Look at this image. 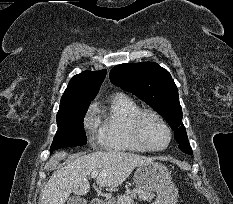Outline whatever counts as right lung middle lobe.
<instances>
[{"instance_id": "obj_1", "label": "right lung middle lobe", "mask_w": 233, "mask_h": 204, "mask_svg": "<svg viewBox=\"0 0 233 204\" xmlns=\"http://www.w3.org/2000/svg\"><path fill=\"white\" fill-rule=\"evenodd\" d=\"M89 105H76L60 108L57 114L58 131L50 148V153L64 147L85 145L83 119Z\"/></svg>"}]
</instances>
